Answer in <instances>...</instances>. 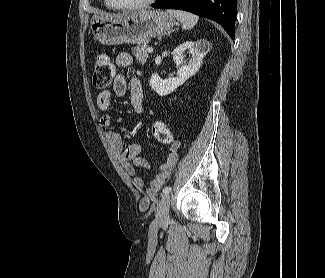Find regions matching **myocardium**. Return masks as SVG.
I'll list each match as a JSON object with an SVG mask.
<instances>
[{
    "label": "myocardium",
    "instance_id": "1",
    "mask_svg": "<svg viewBox=\"0 0 325 278\" xmlns=\"http://www.w3.org/2000/svg\"><path fill=\"white\" fill-rule=\"evenodd\" d=\"M107 1H108L109 5L114 9H118V10H137V9H142V8L149 7L150 5L155 3L157 0H145L143 2L136 3V4H119L115 0H107Z\"/></svg>",
    "mask_w": 325,
    "mask_h": 278
}]
</instances>
